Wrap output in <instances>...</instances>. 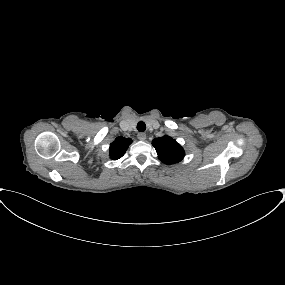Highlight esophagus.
<instances>
[{"instance_id": "esophagus-1", "label": "esophagus", "mask_w": 285, "mask_h": 285, "mask_svg": "<svg viewBox=\"0 0 285 285\" xmlns=\"http://www.w3.org/2000/svg\"><path fill=\"white\" fill-rule=\"evenodd\" d=\"M137 137L139 140L144 141L146 139V134L143 132H140L138 133Z\"/></svg>"}]
</instances>
